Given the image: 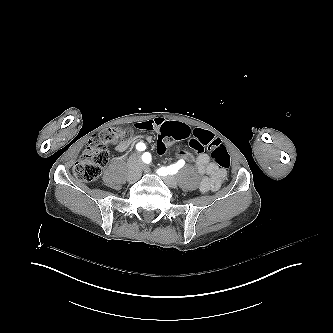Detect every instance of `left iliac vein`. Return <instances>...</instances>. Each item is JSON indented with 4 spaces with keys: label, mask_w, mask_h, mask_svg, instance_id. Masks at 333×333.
Listing matches in <instances>:
<instances>
[{
    "label": "left iliac vein",
    "mask_w": 333,
    "mask_h": 333,
    "mask_svg": "<svg viewBox=\"0 0 333 333\" xmlns=\"http://www.w3.org/2000/svg\"><path fill=\"white\" fill-rule=\"evenodd\" d=\"M141 169L145 172V173H150V169L148 166H141ZM161 179L164 181V183L170 187V188H176L177 187V180L174 176L172 175H167L164 177H161Z\"/></svg>",
    "instance_id": "1"
}]
</instances>
